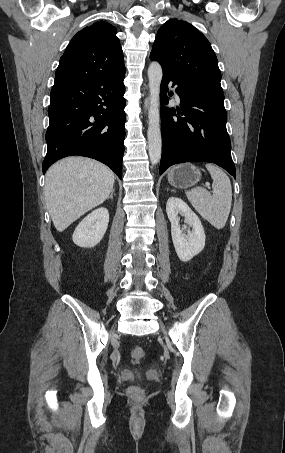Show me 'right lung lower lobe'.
Returning <instances> with one entry per match:
<instances>
[{
    "instance_id": "1",
    "label": "right lung lower lobe",
    "mask_w": 285,
    "mask_h": 453,
    "mask_svg": "<svg viewBox=\"0 0 285 453\" xmlns=\"http://www.w3.org/2000/svg\"><path fill=\"white\" fill-rule=\"evenodd\" d=\"M125 71L113 75L55 78L48 109L43 173L71 155L94 158L122 179Z\"/></svg>"
}]
</instances>
